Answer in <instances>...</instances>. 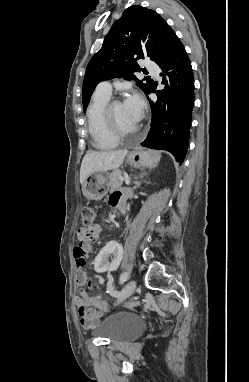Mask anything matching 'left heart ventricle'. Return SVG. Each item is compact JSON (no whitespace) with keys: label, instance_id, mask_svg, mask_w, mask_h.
Here are the masks:
<instances>
[{"label":"left heart ventricle","instance_id":"b2bd125f","mask_svg":"<svg viewBox=\"0 0 249 382\" xmlns=\"http://www.w3.org/2000/svg\"><path fill=\"white\" fill-rule=\"evenodd\" d=\"M113 117L116 125L123 131H133L138 126V121L125 109L123 103L114 106Z\"/></svg>","mask_w":249,"mask_h":382}]
</instances>
